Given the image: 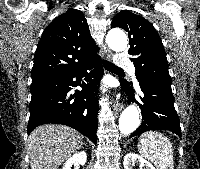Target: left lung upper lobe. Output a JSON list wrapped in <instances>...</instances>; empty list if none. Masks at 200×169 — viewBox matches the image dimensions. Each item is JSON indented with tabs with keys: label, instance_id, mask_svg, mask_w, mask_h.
Returning a JSON list of instances; mask_svg holds the SVG:
<instances>
[{
	"label": "left lung upper lobe",
	"instance_id": "1",
	"mask_svg": "<svg viewBox=\"0 0 200 169\" xmlns=\"http://www.w3.org/2000/svg\"><path fill=\"white\" fill-rule=\"evenodd\" d=\"M114 27H120L128 32V53L136 68L137 80H151L171 85L166 53L153 25L129 10H123L113 18L111 28ZM122 81L131 84L126 80Z\"/></svg>",
	"mask_w": 200,
	"mask_h": 169
}]
</instances>
